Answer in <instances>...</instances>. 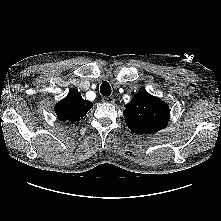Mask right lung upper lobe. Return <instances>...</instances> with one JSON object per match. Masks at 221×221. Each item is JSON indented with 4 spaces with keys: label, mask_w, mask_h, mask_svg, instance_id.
Segmentation results:
<instances>
[{
    "label": "right lung upper lobe",
    "mask_w": 221,
    "mask_h": 221,
    "mask_svg": "<svg viewBox=\"0 0 221 221\" xmlns=\"http://www.w3.org/2000/svg\"><path fill=\"white\" fill-rule=\"evenodd\" d=\"M92 103L84 100L76 90H71L68 95L56 105L55 112L61 121L76 122L83 118L91 109Z\"/></svg>",
    "instance_id": "obj_1"
}]
</instances>
